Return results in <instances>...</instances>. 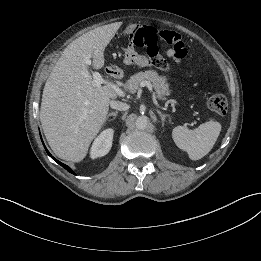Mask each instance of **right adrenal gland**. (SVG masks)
<instances>
[{"label": "right adrenal gland", "mask_w": 261, "mask_h": 261, "mask_svg": "<svg viewBox=\"0 0 261 261\" xmlns=\"http://www.w3.org/2000/svg\"><path fill=\"white\" fill-rule=\"evenodd\" d=\"M117 114H118V111L110 112V113L107 115V119H108L110 116L116 117Z\"/></svg>", "instance_id": "1"}]
</instances>
